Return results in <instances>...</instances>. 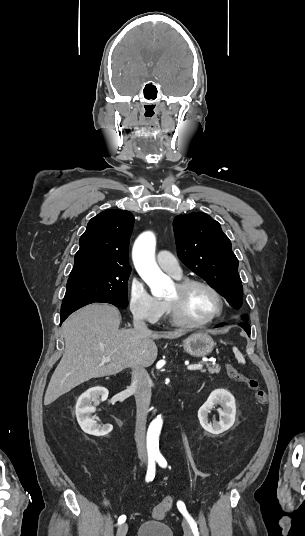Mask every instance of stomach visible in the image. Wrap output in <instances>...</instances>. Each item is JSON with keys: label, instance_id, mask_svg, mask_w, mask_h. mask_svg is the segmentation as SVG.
Instances as JSON below:
<instances>
[{"label": "stomach", "instance_id": "1", "mask_svg": "<svg viewBox=\"0 0 305 536\" xmlns=\"http://www.w3.org/2000/svg\"><path fill=\"white\" fill-rule=\"evenodd\" d=\"M183 348L190 356L204 358L213 352L214 342L211 336L205 332H198V334H192L187 340H184Z\"/></svg>", "mask_w": 305, "mask_h": 536}]
</instances>
